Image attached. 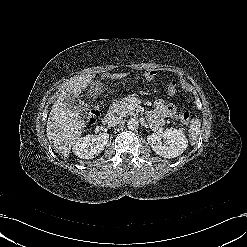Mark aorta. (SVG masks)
<instances>
[{
    "instance_id": "obj_1",
    "label": "aorta",
    "mask_w": 247,
    "mask_h": 247,
    "mask_svg": "<svg viewBox=\"0 0 247 247\" xmlns=\"http://www.w3.org/2000/svg\"><path fill=\"white\" fill-rule=\"evenodd\" d=\"M138 126H139V122L135 118H131L127 122V127L130 130H136V129H138Z\"/></svg>"
}]
</instances>
